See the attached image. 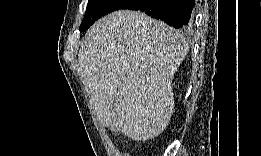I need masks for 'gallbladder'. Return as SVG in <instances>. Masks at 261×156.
Here are the masks:
<instances>
[{
  "instance_id": "gallbladder-1",
  "label": "gallbladder",
  "mask_w": 261,
  "mask_h": 156,
  "mask_svg": "<svg viewBox=\"0 0 261 156\" xmlns=\"http://www.w3.org/2000/svg\"><path fill=\"white\" fill-rule=\"evenodd\" d=\"M111 107L118 108V109L113 110L114 113L109 114L111 116L110 118L114 120V121L110 122L112 124L111 127H122V125L127 123V122L123 121V119L126 117H122V116L126 115V112H124L126 110H121L125 107H123V106H111Z\"/></svg>"
}]
</instances>
